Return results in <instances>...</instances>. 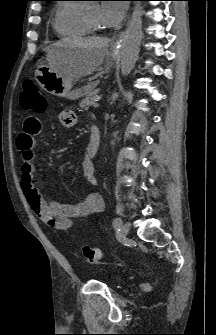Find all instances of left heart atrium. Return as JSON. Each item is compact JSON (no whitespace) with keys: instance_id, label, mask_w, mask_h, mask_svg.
<instances>
[{"instance_id":"39dd6f15","label":"left heart atrium","mask_w":216,"mask_h":335,"mask_svg":"<svg viewBox=\"0 0 216 335\" xmlns=\"http://www.w3.org/2000/svg\"><path fill=\"white\" fill-rule=\"evenodd\" d=\"M125 13V4L118 1H104L99 9L100 23L105 28H116L122 22Z\"/></svg>"}]
</instances>
